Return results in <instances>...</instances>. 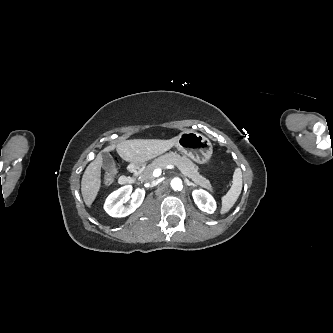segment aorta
Returning a JSON list of instances; mask_svg holds the SVG:
<instances>
[{
	"label": "aorta",
	"instance_id": "1",
	"mask_svg": "<svg viewBox=\"0 0 333 333\" xmlns=\"http://www.w3.org/2000/svg\"><path fill=\"white\" fill-rule=\"evenodd\" d=\"M171 187L174 191H181L183 189V182L180 178H174L171 180Z\"/></svg>",
	"mask_w": 333,
	"mask_h": 333
}]
</instances>
